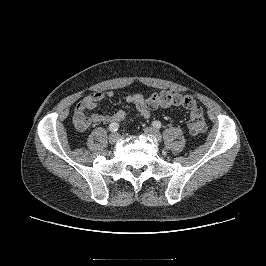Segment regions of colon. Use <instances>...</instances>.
<instances>
[{"instance_id": "colon-1", "label": "colon", "mask_w": 266, "mask_h": 266, "mask_svg": "<svg viewBox=\"0 0 266 266\" xmlns=\"http://www.w3.org/2000/svg\"><path fill=\"white\" fill-rule=\"evenodd\" d=\"M146 105L150 109L181 106L189 111L188 128L190 134L197 136L203 134L207 129L203 110L192 96L163 91L152 94L146 100Z\"/></svg>"}]
</instances>
